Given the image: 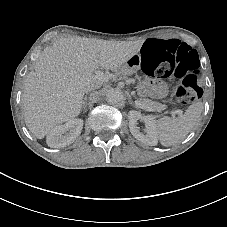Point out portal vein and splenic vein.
I'll use <instances>...</instances> for the list:
<instances>
[{
  "mask_svg": "<svg viewBox=\"0 0 227 227\" xmlns=\"http://www.w3.org/2000/svg\"><path fill=\"white\" fill-rule=\"evenodd\" d=\"M103 76H107L108 78H111V77H113V74L106 72V73H102L99 77H103ZM135 104H138L139 108L144 109L146 111H155L154 108L148 107V106H145L144 104H142L140 99L135 100ZM182 114H183L182 110L170 112L171 116H181Z\"/></svg>",
  "mask_w": 227,
  "mask_h": 227,
  "instance_id": "18ae733b",
  "label": "portal vein and splenic vein"
}]
</instances>
